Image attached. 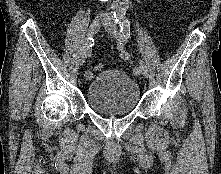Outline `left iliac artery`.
Instances as JSON below:
<instances>
[{
    "mask_svg": "<svg viewBox=\"0 0 221 174\" xmlns=\"http://www.w3.org/2000/svg\"><path fill=\"white\" fill-rule=\"evenodd\" d=\"M119 26L121 28V32L123 34V36L128 39L130 37V23L127 19H123V20H118ZM120 56L123 60H128L130 55L127 51H122L120 53ZM135 74L140 73L139 68L134 70Z\"/></svg>",
    "mask_w": 221,
    "mask_h": 174,
    "instance_id": "44dca946",
    "label": "left iliac artery"
}]
</instances>
